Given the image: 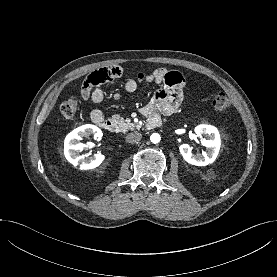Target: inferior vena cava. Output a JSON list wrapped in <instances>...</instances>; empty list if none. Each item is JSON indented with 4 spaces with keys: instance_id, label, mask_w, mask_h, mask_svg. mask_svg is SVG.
I'll return each instance as SVG.
<instances>
[{
    "instance_id": "1",
    "label": "inferior vena cava",
    "mask_w": 277,
    "mask_h": 277,
    "mask_svg": "<svg viewBox=\"0 0 277 277\" xmlns=\"http://www.w3.org/2000/svg\"><path fill=\"white\" fill-rule=\"evenodd\" d=\"M141 139H142V134L139 132H132L127 134L126 136V141L131 144L138 143Z\"/></svg>"
}]
</instances>
